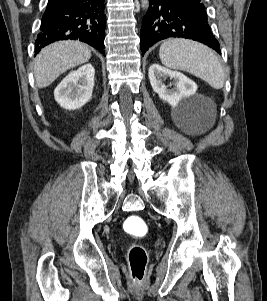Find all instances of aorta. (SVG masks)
Instances as JSON below:
<instances>
[{
	"instance_id": "762f6f07",
	"label": "aorta",
	"mask_w": 267,
	"mask_h": 301,
	"mask_svg": "<svg viewBox=\"0 0 267 301\" xmlns=\"http://www.w3.org/2000/svg\"><path fill=\"white\" fill-rule=\"evenodd\" d=\"M148 5H149V1L148 0H142V6L144 8H148Z\"/></svg>"
}]
</instances>
